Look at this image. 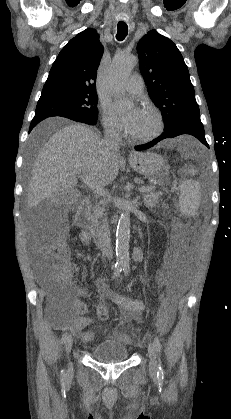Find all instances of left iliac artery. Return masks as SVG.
<instances>
[{"instance_id": "left-iliac-artery-1", "label": "left iliac artery", "mask_w": 231, "mask_h": 419, "mask_svg": "<svg viewBox=\"0 0 231 419\" xmlns=\"http://www.w3.org/2000/svg\"><path fill=\"white\" fill-rule=\"evenodd\" d=\"M123 270H124L125 274H128L129 265H124ZM154 345H155V348H156L157 352L159 353V361H160V366H159V370L157 372V375L163 376L164 375V370L161 366V360H160L161 359L162 345H161L160 340L158 339V337H154Z\"/></svg>"}]
</instances>
